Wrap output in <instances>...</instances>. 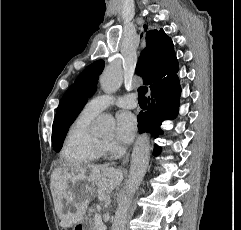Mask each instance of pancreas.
Segmentation results:
<instances>
[{"instance_id":"1","label":"pancreas","mask_w":241,"mask_h":230,"mask_svg":"<svg viewBox=\"0 0 241 230\" xmlns=\"http://www.w3.org/2000/svg\"><path fill=\"white\" fill-rule=\"evenodd\" d=\"M89 221L93 224V230H100V228L95 224L94 220L89 219Z\"/></svg>"}]
</instances>
